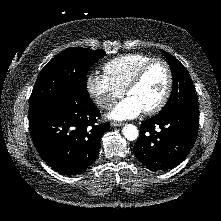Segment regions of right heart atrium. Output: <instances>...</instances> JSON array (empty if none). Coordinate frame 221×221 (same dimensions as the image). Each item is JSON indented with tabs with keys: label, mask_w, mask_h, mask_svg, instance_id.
Segmentation results:
<instances>
[{
	"label": "right heart atrium",
	"mask_w": 221,
	"mask_h": 221,
	"mask_svg": "<svg viewBox=\"0 0 221 221\" xmlns=\"http://www.w3.org/2000/svg\"><path fill=\"white\" fill-rule=\"evenodd\" d=\"M87 91L94 102L102 109H110L124 90L111 82L106 75L93 73L86 81Z\"/></svg>",
	"instance_id": "right-heart-atrium-1"
}]
</instances>
